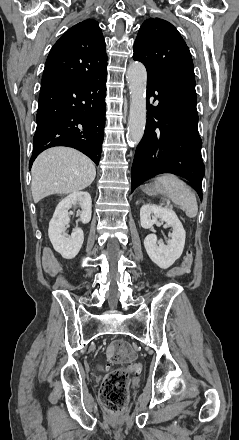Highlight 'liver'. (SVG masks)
Here are the masks:
<instances>
[{
	"mask_svg": "<svg viewBox=\"0 0 239 440\" xmlns=\"http://www.w3.org/2000/svg\"><path fill=\"white\" fill-rule=\"evenodd\" d=\"M31 174L32 196L37 204L50 194H73L88 188L95 180L96 168L73 148H49L36 158Z\"/></svg>",
	"mask_w": 239,
	"mask_h": 440,
	"instance_id": "liver-1",
	"label": "liver"
}]
</instances>
